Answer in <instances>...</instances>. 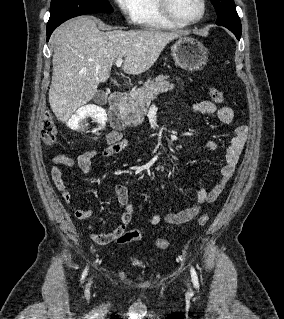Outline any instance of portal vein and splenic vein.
<instances>
[{"label": "portal vein and splenic vein", "mask_w": 284, "mask_h": 319, "mask_svg": "<svg viewBox=\"0 0 284 319\" xmlns=\"http://www.w3.org/2000/svg\"><path fill=\"white\" fill-rule=\"evenodd\" d=\"M122 63H123V60H122V59H117V60H116V66H117V67H121Z\"/></svg>", "instance_id": "portal-vein-and-splenic-vein-1"}]
</instances>
